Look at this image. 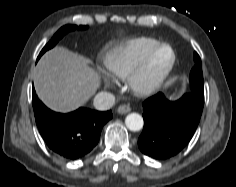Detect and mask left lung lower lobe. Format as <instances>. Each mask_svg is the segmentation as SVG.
I'll return each instance as SVG.
<instances>
[{
  "mask_svg": "<svg viewBox=\"0 0 236 187\" xmlns=\"http://www.w3.org/2000/svg\"><path fill=\"white\" fill-rule=\"evenodd\" d=\"M204 99L185 93L169 101L162 93L144 103V128L138 139L142 153L154 159H168L179 153L191 140L201 118Z\"/></svg>",
  "mask_w": 236,
  "mask_h": 187,
  "instance_id": "left-lung-lower-lobe-1",
  "label": "left lung lower lobe"
}]
</instances>
